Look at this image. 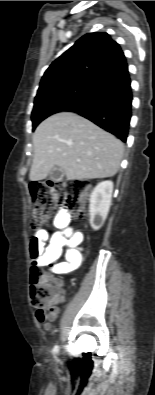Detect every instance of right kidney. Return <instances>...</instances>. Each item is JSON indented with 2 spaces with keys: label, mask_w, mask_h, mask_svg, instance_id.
I'll list each match as a JSON object with an SVG mask.
<instances>
[{
  "label": "right kidney",
  "mask_w": 155,
  "mask_h": 395,
  "mask_svg": "<svg viewBox=\"0 0 155 395\" xmlns=\"http://www.w3.org/2000/svg\"><path fill=\"white\" fill-rule=\"evenodd\" d=\"M113 182L99 183L90 196L89 216L90 225L94 230H99L104 224L112 200Z\"/></svg>",
  "instance_id": "right-kidney-1"
}]
</instances>
